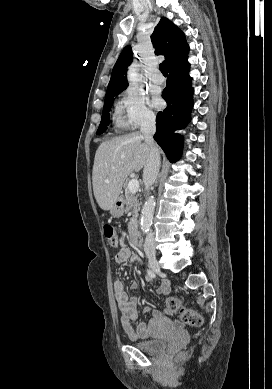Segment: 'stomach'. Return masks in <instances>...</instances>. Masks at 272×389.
I'll use <instances>...</instances> for the list:
<instances>
[{"label": "stomach", "mask_w": 272, "mask_h": 389, "mask_svg": "<svg viewBox=\"0 0 272 389\" xmlns=\"http://www.w3.org/2000/svg\"><path fill=\"white\" fill-rule=\"evenodd\" d=\"M124 205H125L124 199L122 197H119L114 203V205L112 206V208L110 209L111 215L114 218L121 217L125 210Z\"/></svg>", "instance_id": "1"}]
</instances>
